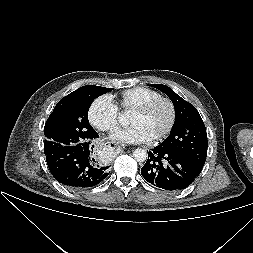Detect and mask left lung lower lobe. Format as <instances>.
<instances>
[{"label":"left lung lower lobe","instance_id":"1","mask_svg":"<svg viewBox=\"0 0 253 253\" xmlns=\"http://www.w3.org/2000/svg\"><path fill=\"white\" fill-rule=\"evenodd\" d=\"M203 166L173 151L157 146L148 152L141 174L150 184L168 191L188 187L200 174Z\"/></svg>","mask_w":253,"mask_h":253}]
</instances>
